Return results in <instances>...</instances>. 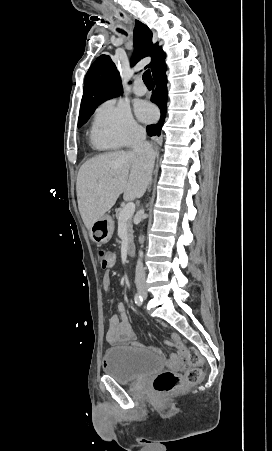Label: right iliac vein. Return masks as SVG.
I'll list each match as a JSON object with an SVG mask.
<instances>
[{
    "instance_id": "63e3f726",
    "label": "right iliac vein",
    "mask_w": 272,
    "mask_h": 451,
    "mask_svg": "<svg viewBox=\"0 0 272 451\" xmlns=\"http://www.w3.org/2000/svg\"><path fill=\"white\" fill-rule=\"evenodd\" d=\"M139 292H140V294H142V295H145V294H146V290H145V289H143V288H142V289H140V290H139Z\"/></svg>"
}]
</instances>
